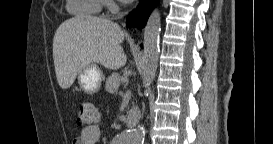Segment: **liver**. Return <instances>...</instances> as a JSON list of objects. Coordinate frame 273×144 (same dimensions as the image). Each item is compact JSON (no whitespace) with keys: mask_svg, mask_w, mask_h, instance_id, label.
I'll use <instances>...</instances> for the list:
<instances>
[{"mask_svg":"<svg viewBox=\"0 0 273 144\" xmlns=\"http://www.w3.org/2000/svg\"><path fill=\"white\" fill-rule=\"evenodd\" d=\"M124 31L108 19L78 15L64 21L53 38L56 77L62 89L74 83L88 64L98 63L117 70L127 61L121 43Z\"/></svg>","mask_w":273,"mask_h":144,"instance_id":"1","label":"liver"}]
</instances>
